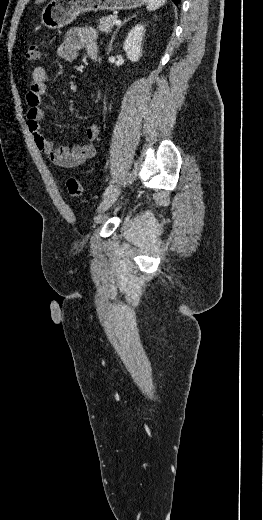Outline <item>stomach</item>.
Wrapping results in <instances>:
<instances>
[{"label":"stomach","mask_w":263,"mask_h":520,"mask_svg":"<svg viewBox=\"0 0 263 520\" xmlns=\"http://www.w3.org/2000/svg\"><path fill=\"white\" fill-rule=\"evenodd\" d=\"M147 0H51L43 9L41 22L48 29H60L77 16L89 11L128 10L145 4Z\"/></svg>","instance_id":"obj_1"}]
</instances>
